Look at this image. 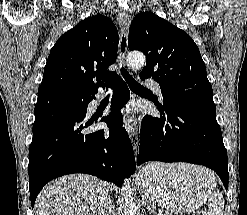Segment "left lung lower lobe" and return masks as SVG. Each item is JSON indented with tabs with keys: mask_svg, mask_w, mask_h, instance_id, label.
I'll list each match as a JSON object with an SVG mask.
<instances>
[{
	"mask_svg": "<svg viewBox=\"0 0 247 215\" xmlns=\"http://www.w3.org/2000/svg\"><path fill=\"white\" fill-rule=\"evenodd\" d=\"M158 109L163 114L160 118L147 115L142 120L137 164L162 161L204 165L219 175L227 189L228 159L216 107L182 103Z\"/></svg>",
	"mask_w": 247,
	"mask_h": 215,
	"instance_id": "0a47b994",
	"label": "left lung lower lobe"
}]
</instances>
